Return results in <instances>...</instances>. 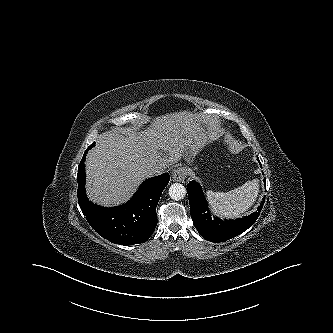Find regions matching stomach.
<instances>
[{"label":"stomach","instance_id":"1","mask_svg":"<svg viewBox=\"0 0 333 333\" xmlns=\"http://www.w3.org/2000/svg\"><path fill=\"white\" fill-rule=\"evenodd\" d=\"M186 161H187L188 163H191V162L194 161V157H192V156H188V157H186Z\"/></svg>","mask_w":333,"mask_h":333}]
</instances>
